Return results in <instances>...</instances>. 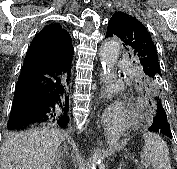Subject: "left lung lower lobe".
Wrapping results in <instances>:
<instances>
[{"label":"left lung lower lobe","mask_w":177,"mask_h":169,"mask_svg":"<svg viewBox=\"0 0 177 169\" xmlns=\"http://www.w3.org/2000/svg\"><path fill=\"white\" fill-rule=\"evenodd\" d=\"M152 100L154 104L157 106L156 117L154 118L152 126L149 128V131L157 132L166 135L170 139L173 138L170 124L167 122V116L165 110L162 106L161 96L152 92Z\"/></svg>","instance_id":"obj_1"}]
</instances>
